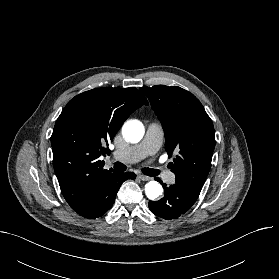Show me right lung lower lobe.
Instances as JSON below:
<instances>
[{"label":"right lung lower lobe","mask_w":279,"mask_h":279,"mask_svg":"<svg viewBox=\"0 0 279 279\" xmlns=\"http://www.w3.org/2000/svg\"><path fill=\"white\" fill-rule=\"evenodd\" d=\"M131 172L120 173L112 171L103 177L95 187L90 200L82 207L75 209L84 218L93 219L102 216L112 208L120 185L127 179H134Z\"/></svg>","instance_id":"obj_1"}]
</instances>
